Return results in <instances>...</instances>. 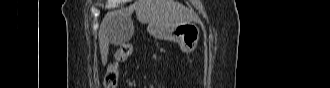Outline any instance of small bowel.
<instances>
[{
  "label": "small bowel",
  "instance_id": "c3829d8e",
  "mask_svg": "<svg viewBox=\"0 0 330 88\" xmlns=\"http://www.w3.org/2000/svg\"><path fill=\"white\" fill-rule=\"evenodd\" d=\"M118 53L120 55H123V56H129L131 53H132V50L129 51L127 45H120V47L118 48Z\"/></svg>",
  "mask_w": 330,
  "mask_h": 88
}]
</instances>
